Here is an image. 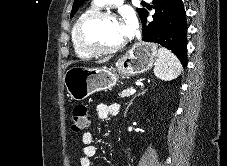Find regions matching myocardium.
<instances>
[{"mask_svg":"<svg viewBox=\"0 0 227 166\" xmlns=\"http://www.w3.org/2000/svg\"><path fill=\"white\" fill-rule=\"evenodd\" d=\"M100 19H114L120 20V16L117 13L111 11H104V10H97L85 15L76 25L75 32H74V40L78 48L82 51L90 54V55H110L113 53L118 52L122 48L125 47L127 43V39L120 44L111 47V48H103L97 45L89 43L86 38L84 37V29L87 25L92 22H95Z\"/></svg>","mask_w":227,"mask_h":166,"instance_id":"f54148a6","label":"myocardium"}]
</instances>
